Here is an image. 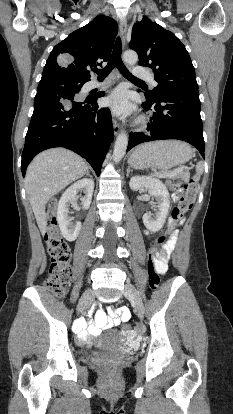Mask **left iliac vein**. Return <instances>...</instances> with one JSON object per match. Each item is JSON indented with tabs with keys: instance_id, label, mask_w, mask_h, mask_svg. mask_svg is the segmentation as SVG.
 I'll return each instance as SVG.
<instances>
[{
	"instance_id": "1",
	"label": "left iliac vein",
	"mask_w": 233,
	"mask_h": 414,
	"mask_svg": "<svg viewBox=\"0 0 233 414\" xmlns=\"http://www.w3.org/2000/svg\"><path fill=\"white\" fill-rule=\"evenodd\" d=\"M124 295L130 300L137 315L142 319L144 316V305L136 288L132 284H126Z\"/></svg>"
}]
</instances>
